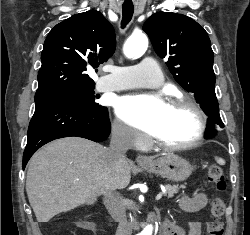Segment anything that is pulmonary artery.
Wrapping results in <instances>:
<instances>
[{
    "label": "pulmonary artery",
    "instance_id": "1",
    "mask_svg": "<svg viewBox=\"0 0 250 235\" xmlns=\"http://www.w3.org/2000/svg\"><path fill=\"white\" fill-rule=\"evenodd\" d=\"M163 76L158 63L146 58L130 67L110 68V74L100 79L98 85L104 91H118L131 88H155L161 85Z\"/></svg>",
    "mask_w": 250,
    "mask_h": 235
}]
</instances>
